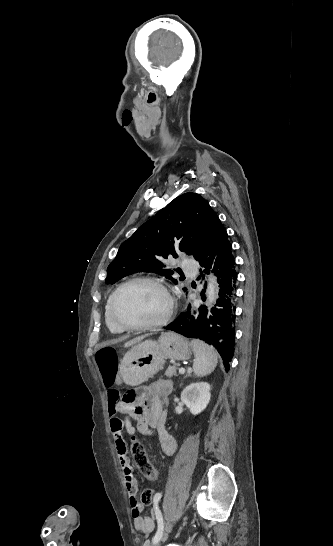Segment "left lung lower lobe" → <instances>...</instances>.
Listing matches in <instances>:
<instances>
[{
	"instance_id": "0a47b994",
	"label": "left lung lower lobe",
	"mask_w": 333,
	"mask_h": 546,
	"mask_svg": "<svg viewBox=\"0 0 333 546\" xmlns=\"http://www.w3.org/2000/svg\"><path fill=\"white\" fill-rule=\"evenodd\" d=\"M231 250L232 245L227 238V232L217 219L208 243L195 258L204 268V273H209L210 268L213 267L218 277L220 292L215 307L209 314L206 307L192 308L189 305L186 311L165 327L185 337L198 338L214 346L223 359L226 371L229 369L234 353V320L236 318L233 298L237 273Z\"/></svg>"
}]
</instances>
